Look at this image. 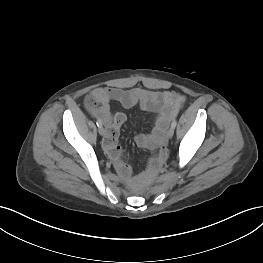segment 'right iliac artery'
Here are the masks:
<instances>
[{
    "mask_svg": "<svg viewBox=\"0 0 263 263\" xmlns=\"http://www.w3.org/2000/svg\"><path fill=\"white\" fill-rule=\"evenodd\" d=\"M96 124H97L98 127H100V126H102V121L101 120H97Z\"/></svg>",
    "mask_w": 263,
    "mask_h": 263,
    "instance_id": "1",
    "label": "right iliac artery"
}]
</instances>
